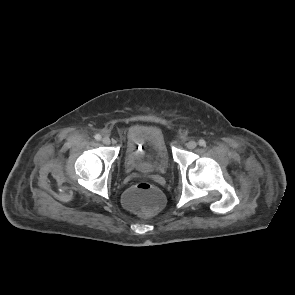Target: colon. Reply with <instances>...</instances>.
Wrapping results in <instances>:
<instances>
[{"mask_svg": "<svg viewBox=\"0 0 295 295\" xmlns=\"http://www.w3.org/2000/svg\"><path fill=\"white\" fill-rule=\"evenodd\" d=\"M127 207L145 215L156 212L162 205L161 192L148 183L134 185L124 195Z\"/></svg>", "mask_w": 295, "mask_h": 295, "instance_id": "obj_1", "label": "colon"}]
</instances>
